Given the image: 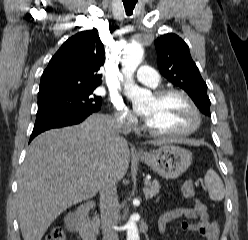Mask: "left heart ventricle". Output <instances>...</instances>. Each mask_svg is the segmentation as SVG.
Masks as SVG:
<instances>
[{
    "label": "left heart ventricle",
    "instance_id": "left-heart-ventricle-1",
    "mask_svg": "<svg viewBox=\"0 0 248 240\" xmlns=\"http://www.w3.org/2000/svg\"><path fill=\"white\" fill-rule=\"evenodd\" d=\"M143 114L148 118V125L161 132L183 131L194 123L191 108L179 95H169L162 99L154 96Z\"/></svg>",
    "mask_w": 248,
    "mask_h": 240
}]
</instances>
